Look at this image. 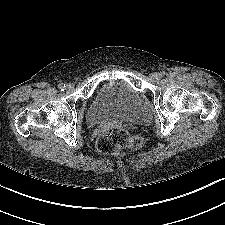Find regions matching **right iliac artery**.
Here are the masks:
<instances>
[{
	"label": "right iliac artery",
	"instance_id": "right-iliac-artery-1",
	"mask_svg": "<svg viewBox=\"0 0 225 225\" xmlns=\"http://www.w3.org/2000/svg\"><path fill=\"white\" fill-rule=\"evenodd\" d=\"M65 84H63V83H60L59 85H58V88L61 90V91H64V89H65Z\"/></svg>",
	"mask_w": 225,
	"mask_h": 225
}]
</instances>
